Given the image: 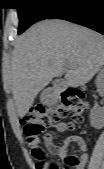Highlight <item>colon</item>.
Listing matches in <instances>:
<instances>
[{"label": "colon", "instance_id": "1", "mask_svg": "<svg viewBox=\"0 0 104 169\" xmlns=\"http://www.w3.org/2000/svg\"><path fill=\"white\" fill-rule=\"evenodd\" d=\"M86 108L85 95L78 89H70L62 96L59 107L47 109L43 106L31 108L21 119L26 136V142L31 147V153L36 161V169H59L55 160L58 148L53 144H42L39 136L48 128L55 125L61 117L71 115L73 124L82 122ZM65 169H73L79 164L76 156L64 159Z\"/></svg>", "mask_w": 104, "mask_h": 169}]
</instances>
